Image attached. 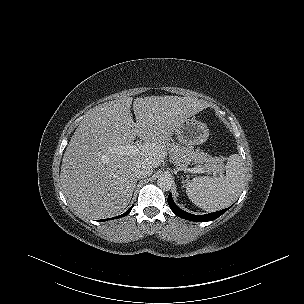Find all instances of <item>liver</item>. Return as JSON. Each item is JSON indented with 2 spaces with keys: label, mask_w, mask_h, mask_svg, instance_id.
I'll return each instance as SVG.
<instances>
[{
  "label": "liver",
  "mask_w": 304,
  "mask_h": 304,
  "mask_svg": "<svg viewBox=\"0 0 304 304\" xmlns=\"http://www.w3.org/2000/svg\"><path fill=\"white\" fill-rule=\"evenodd\" d=\"M132 97L90 109L65 150L60 178L70 207L78 215L100 219L127 208L136 187L137 164L158 167L166 158L173 132L207 107L203 100L178 96ZM143 143L128 153L115 150Z\"/></svg>",
  "instance_id": "liver-1"
}]
</instances>
